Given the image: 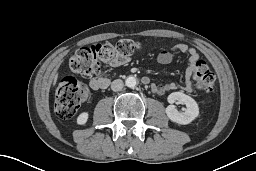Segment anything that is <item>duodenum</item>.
Segmentation results:
<instances>
[{"instance_id": "410a0bca", "label": "duodenum", "mask_w": 256, "mask_h": 171, "mask_svg": "<svg viewBox=\"0 0 256 171\" xmlns=\"http://www.w3.org/2000/svg\"><path fill=\"white\" fill-rule=\"evenodd\" d=\"M143 82H144V83H147V82H148V80H147L146 78H144V79H143Z\"/></svg>"}]
</instances>
